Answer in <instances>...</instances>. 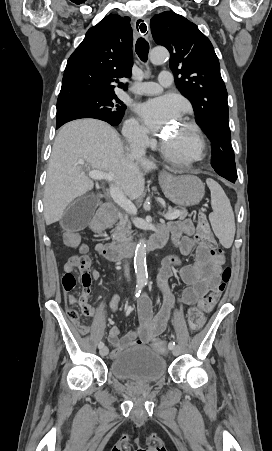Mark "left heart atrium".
Returning a JSON list of instances; mask_svg holds the SVG:
<instances>
[{"label": "left heart atrium", "instance_id": "39dd6f15", "mask_svg": "<svg viewBox=\"0 0 272 451\" xmlns=\"http://www.w3.org/2000/svg\"><path fill=\"white\" fill-rule=\"evenodd\" d=\"M179 110L170 97H161L143 105L141 112L147 128L157 133L165 130L174 121Z\"/></svg>", "mask_w": 272, "mask_h": 451}]
</instances>
